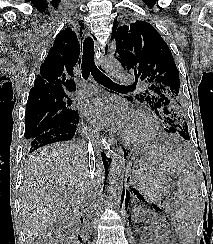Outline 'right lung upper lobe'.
Returning a JSON list of instances; mask_svg holds the SVG:
<instances>
[{
  "mask_svg": "<svg viewBox=\"0 0 213 244\" xmlns=\"http://www.w3.org/2000/svg\"><path fill=\"white\" fill-rule=\"evenodd\" d=\"M80 46L76 33L66 28L57 34L53 47L40 67L30 97L68 95L76 90L74 68L79 62Z\"/></svg>",
  "mask_w": 213,
  "mask_h": 244,
  "instance_id": "1",
  "label": "right lung upper lobe"
}]
</instances>
